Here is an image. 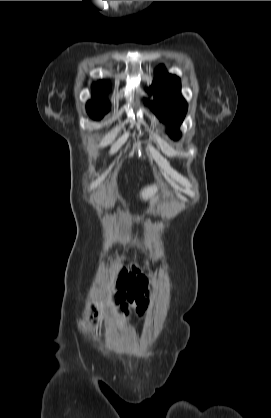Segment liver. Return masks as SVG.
Masks as SVG:
<instances>
[{
  "mask_svg": "<svg viewBox=\"0 0 271 418\" xmlns=\"http://www.w3.org/2000/svg\"><path fill=\"white\" fill-rule=\"evenodd\" d=\"M157 190H158V188H157L156 185H151V186H148V187L144 188L141 191L140 195H141L143 200H148L150 197H152L157 192Z\"/></svg>",
  "mask_w": 271,
  "mask_h": 418,
  "instance_id": "1",
  "label": "liver"
}]
</instances>
